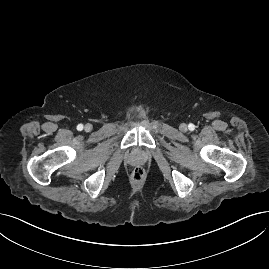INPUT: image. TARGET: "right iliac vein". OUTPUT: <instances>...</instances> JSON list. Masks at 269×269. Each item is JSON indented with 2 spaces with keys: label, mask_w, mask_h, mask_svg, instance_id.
<instances>
[{
  "label": "right iliac vein",
  "mask_w": 269,
  "mask_h": 269,
  "mask_svg": "<svg viewBox=\"0 0 269 269\" xmlns=\"http://www.w3.org/2000/svg\"><path fill=\"white\" fill-rule=\"evenodd\" d=\"M92 124H90V123H87L86 125H85V127H84V130L86 131V132H90L91 130H92Z\"/></svg>",
  "instance_id": "63e3f726"
}]
</instances>
